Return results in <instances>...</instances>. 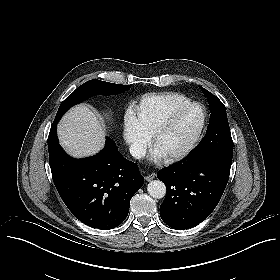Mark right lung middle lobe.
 I'll return each mask as SVG.
<instances>
[{
  "label": "right lung middle lobe",
  "mask_w": 280,
  "mask_h": 280,
  "mask_svg": "<svg viewBox=\"0 0 280 280\" xmlns=\"http://www.w3.org/2000/svg\"><path fill=\"white\" fill-rule=\"evenodd\" d=\"M130 86L108 83L100 80H89L78 87L72 94H70L60 105L55 117L58 121L62 115L72 106L81 103L85 99L94 95H116L125 92Z\"/></svg>",
  "instance_id": "obj_1"
}]
</instances>
